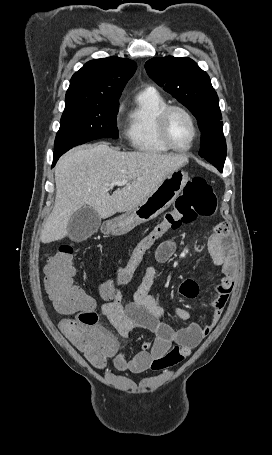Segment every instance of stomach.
<instances>
[{"mask_svg": "<svg viewBox=\"0 0 272 455\" xmlns=\"http://www.w3.org/2000/svg\"><path fill=\"white\" fill-rule=\"evenodd\" d=\"M188 180V173L183 170L170 173L141 204L111 220L108 223L109 232L116 236L124 235L156 218L176 200Z\"/></svg>", "mask_w": 272, "mask_h": 455, "instance_id": "0dacf381", "label": "stomach"}]
</instances>
